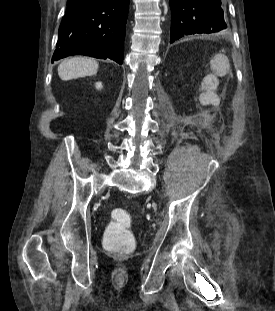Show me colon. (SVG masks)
<instances>
[{"mask_svg": "<svg viewBox=\"0 0 275 311\" xmlns=\"http://www.w3.org/2000/svg\"><path fill=\"white\" fill-rule=\"evenodd\" d=\"M111 217L112 220L107 225L104 235L105 248L113 252L130 253L135 248L136 242L130 231L132 220L129 213L124 209L115 208L111 211Z\"/></svg>", "mask_w": 275, "mask_h": 311, "instance_id": "5ec220e1", "label": "colon"}]
</instances>
